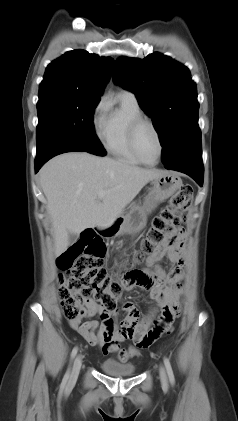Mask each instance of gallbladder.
I'll list each match as a JSON object with an SVG mask.
<instances>
[{
  "label": "gallbladder",
  "mask_w": 238,
  "mask_h": 421,
  "mask_svg": "<svg viewBox=\"0 0 238 421\" xmlns=\"http://www.w3.org/2000/svg\"><path fill=\"white\" fill-rule=\"evenodd\" d=\"M69 244H73L77 241V235L69 233L68 235Z\"/></svg>",
  "instance_id": "bac80fb5"
}]
</instances>
